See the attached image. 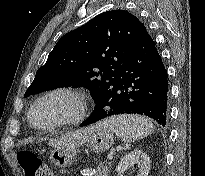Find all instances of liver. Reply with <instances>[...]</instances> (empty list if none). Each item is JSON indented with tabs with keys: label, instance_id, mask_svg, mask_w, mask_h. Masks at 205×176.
Instances as JSON below:
<instances>
[{
	"label": "liver",
	"instance_id": "liver-1",
	"mask_svg": "<svg viewBox=\"0 0 205 176\" xmlns=\"http://www.w3.org/2000/svg\"><path fill=\"white\" fill-rule=\"evenodd\" d=\"M91 128L87 127L84 129H78L76 131L70 132L58 140L51 141L50 144L57 148H75L84 144L89 135Z\"/></svg>",
	"mask_w": 205,
	"mask_h": 176
}]
</instances>
